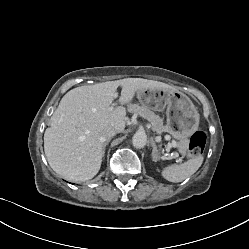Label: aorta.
<instances>
[{
  "label": "aorta",
  "instance_id": "1",
  "mask_svg": "<svg viewBox=\"0 0 249 249\" xmlns=\"http://www.w3.org/2000/svg\"><path fill=\"white\" fill-rule=\"evenodd\" d=\"M147 143V136L144 132L138 131L132 138V144L135 148H143Z\"/></svg>",
  "mask_w": 249,
  "mask_h": 249
}]
</instances>
